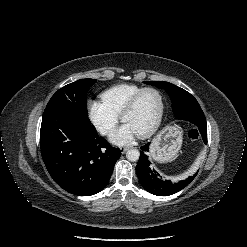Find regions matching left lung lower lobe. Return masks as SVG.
I'll list each match as a JSON object with an SVG mask.
<instances>
[{"label": "left lung lower lobe", "mask_w": 247, "mask_h": 247, "mask_svg": "<svg viewBox=\"0 0 247 247\" xmlns=\"http://www.w3.org/2000/svg\"><path fill=\"white\" fill-rule=\"evenodd\" d=\"M199 137L207 144V124L206 120L198 122L194 126ZM149 143L141 147L140 158L136 166V173L144 189L157 196H169L185 188L197 175L189 177L186 180L172 183L170 180H163L162 176L153 169L148 159Z\"/></svg>", "instance_id": "1"}]
</instances>
